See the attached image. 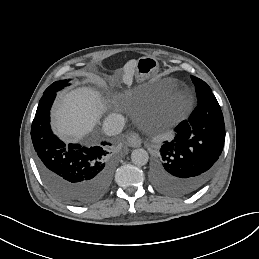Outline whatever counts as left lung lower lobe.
<instances>
[{
  "label": "left lung lower lobe",
  "mask_w": 259,
  "mask_h": 259,
  "mask_svg": "<svg viewBox=\"0 0 259 259\" xmlns=\"http://www.w3.org/2000/svg\"><path fill=\"white\" fill-rule=\"evenodd\" d=\"M198 106L165 142L151 170L150 180L160 192L182 197L204 186L214 175L225 141V124L211 90L197 93Z\"/></svg>",
  "instance_id": "obj_1"
}]
</instances>
